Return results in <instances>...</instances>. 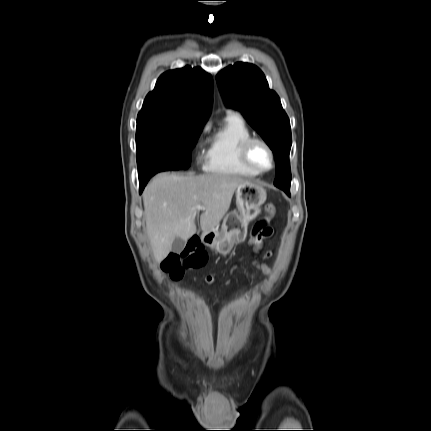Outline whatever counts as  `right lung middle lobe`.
Listing matches in <instances>:
<instances>
[{
  "label": "right lung middle lobe",
  "mask_w": 431,
  "mask_h": 431,
  "mask_svg": "<svg viewBox=\"0 0 431 431\" xmlns=\"http://www.w3.org/2000/svg\"><path fill=\"white\" fill-rule=\"evenodd\" d=\"M203 129L165 119H137L136 147L138 174L187 169L191 152Z\"/></svg>",
  "instance_id": "right-lung-middle-lobe-1"
}]
</instances>
